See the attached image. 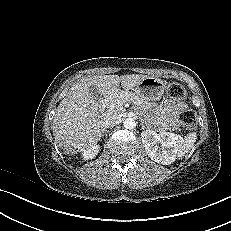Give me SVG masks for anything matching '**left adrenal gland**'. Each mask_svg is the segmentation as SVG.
<instances>
[{"label": "left adrenal gland", "mask_w": 231, "mask_h": 231, "mask_svg": "<svg viewBox=\"0 0 231 231\" xmlns=\"http://www.w3.org/2000/svg\"><path fill=\"white\" fill-rule=\"evenodd\" d=\"M145 128H146V127H145L144 124L142 123V129L145 130Z\"/></svg>", "instance_id": "obj_1"}]
</instances>
